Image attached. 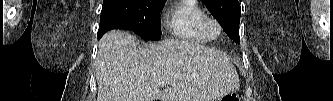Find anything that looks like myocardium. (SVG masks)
<instances>
[{
	"instance_id": "1",
	"label": "myocardium",
	"mask_w": 333,
	"mask_h": 101,
	"mask_svg": "<svg viewBox=\"0 0 333 101\" xmlns=\"http://www.w3.org/2000/svg\"><path fill=\"white\" fill-rule=\"evenodd\" d=\"M204 26L207 32L210 34L211 37H219L223 32V27L220 21L211 14H207L204 18Z\"/></svg>"
}]
</instances>
